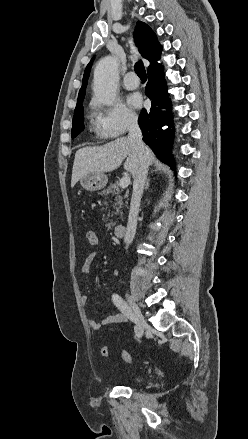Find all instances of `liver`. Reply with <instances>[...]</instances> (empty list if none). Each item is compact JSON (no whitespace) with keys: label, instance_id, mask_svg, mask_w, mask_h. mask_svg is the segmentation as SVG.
Here are the masks:
<instances>
[{"label":"liver","instance_id":"obj_1","mask_svg":"<svg viewBox=\"0 0 248 439\" xmlns=\"http://www.w3.org/2000/svg\"><path fill=\"white\" fill-rule=\"evenodd\" d=\"M149 164L154 161L151 149L145 146ZM126 158L124 169L133 176L139 162V153L132 140L120 137L108 144L97 147H83L75 154L71 187L85 175L92 172H110L122 164Z\"/></svg>","mask_w":248,"mask_h":439}]
</instances>
